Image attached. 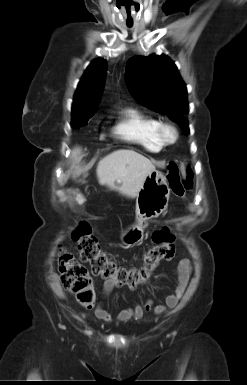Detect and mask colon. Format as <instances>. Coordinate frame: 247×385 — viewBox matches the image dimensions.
Listing matches in <instances>:
<instances>
[{
	"label": "colon",
	"instance_id": "obj_1",
	"mask_svg": "<svg viewBox=\"0 0 247 385\" xmlns=\"http://www.w3.org/2000/svg\"><path fill=\"white\" fill-rule=\"evenodd\" d=\"M166 176L176 196L183 197L186 189L193 185L190 172L183 174L174 163L168 165ZM72 238L78 244L80 258L60 249L59 272L63 287L85 308L93 307L96 295L92 278L82 262L90 265L94 275L116 286L135 288L147 283L156 267L163 261L172 260L175 255V237L167 227L153 233L152 240L155 245L144 255L140 267L129 268L109 258L85 223L75 229Z\"/></svg>",
	"mask_w": 247,
	"mask_h": 385
}]
</instances>
